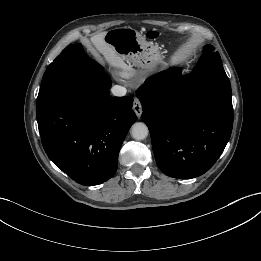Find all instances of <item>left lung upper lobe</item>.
Returning <instances> with one entry per match:
<instances>
[{"label":"left lung upper lobe","mask_w":261,"mask_h":261,"mask_svg":"<svg viewBox=\"0 0 261 261\" xmlns=\"http://www.w3.org/2000/svg\"><path fill=\"white\" fill-rule=\"evenodd\" d=\"M208 65L214 64L218 66H222L221 58L218 52L215 51V48L211 45H206L203 49V55L198 61V64Z\"/></svg>","instance_id":"left-lung-upper-lobe-1"}]
</instances>
